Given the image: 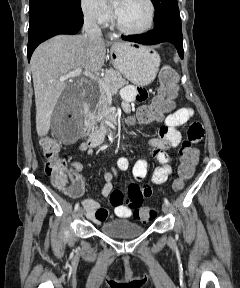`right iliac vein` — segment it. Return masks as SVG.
Segmentation results:
<instances>
[{
	"instance_id": "1",
	"label": "right iliac vein",
	"mask_w": 240,
	"mask_h": 288,
	"mask_svg": "<svg viewBox=\"0 0 240 288\" xmlns=\"http://www.w3.org/2000/svg\"><path fill=\"white\" fill-rule=\"evenodd\" d=\"M83 213H84L83 209H82V208H79V209H78V217H79V218H82Z\"/></svg>"
}]
</instances>
